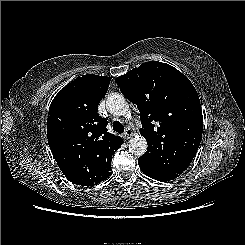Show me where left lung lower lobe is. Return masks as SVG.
Listing matches in <instances>:
<instances>
[{"label":"left lung lower lobe","instance_id":"0a47b994","mask_svg":"<svg viewBox=\"0 0 245 245\" xmlns=\"http://www.w3.org/2000/svg\"><path fill=\"white\" fill-rule=\"evenodd\" d=\"M138 164L143 173H145L150 178L158 180V181H162V182L170 181V180L177 178L180 175L177 173L168 172V171H164V170L152 167L143 162H140L139 160H138Z\"/></svg>","mask_w":245,"mask_h":245}]
</instances>
